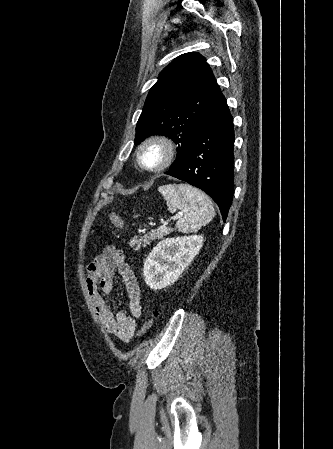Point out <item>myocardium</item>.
<instances>
[{"mask_svg":"<svg viewBox=\"0 0 333 449\" xmlns=\"http://www.w3.org/2000/svg\"><path fill=\"white\" fill-rule=\"evenodd\" d=\"M157 149L160 152V160L155 165H148L143 161V154L148 149ZM175 157L174 143L167 137L155 135L146 138L137 148L136 161L137 164L149 173H159L168 168Z\"/></svg>","mask_w":333,"mask_h":449,"instance_id":"f54148a6","label":"myocardium"}]
</instances>
